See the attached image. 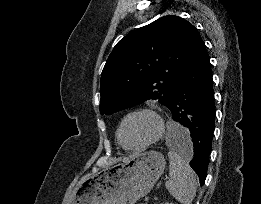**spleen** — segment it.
<instances>
[{
    "label": "spleen",
    "instance_id": "1",
    "mask_svg": "<svg viewBox=\"0 0 261 204\" xmlns=\"http://www.w3.org/2000/svg\"><path fill=\"white\" fill-rule=\"evenodd\" d=\"M169 131L185 132V128L173 123ZM170 159L169 180L165 186L169 193L182 204H191L197 189L196 176L188 162L175 150L168 153Z\"/></svg>",
    "mask_w": 261,
    "mask_h": 204
}]
</instances>
